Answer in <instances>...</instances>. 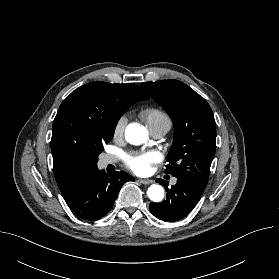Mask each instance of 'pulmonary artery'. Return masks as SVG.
Instances as JSON below:
<instances>
[{
  "label": "pulmonary artery",
  "mask_w": 279,
  "mask_h": 279,
  "mask_svg": "<svg viewBox=\"0 0 279 279\" xmlns=\"http://www.w3.org/2000/svg\"><path fill=\"white\" fill-rule=\"evenodd\" d=\"M170 127H171V125L169 123H166V124H163L161 126L154 128L153 130H151V133L154 137L161 138L169 131ZM114 162H115V158L110 155H105L101 159L102 166H107L108 164H111ZM176 181L177 180L174 178V179H172L171 183L176 184Z\"/></svg>",
  "instance_id": "e3ab8cb5"
}]
</instances>
